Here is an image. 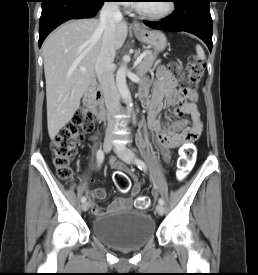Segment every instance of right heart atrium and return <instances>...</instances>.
Wrapping results in <instances>:
<instances>
[{
    "instance_id": "d8ad5b80",
    "label": "right heart atrium",
    "mask_w": 258,
    "mask_h": 275,
    "mask_svg": "<svg viewBox=\"0 0 258 275\" xmlns=\"http://www.w3.org/2000/svg\"><path fill=\"white\" fill-rule=\"evenodd\" d=\"M113 2H120L121 4H125L128 2L127 0H112Z\"/></svg>"
}]
</instances>
